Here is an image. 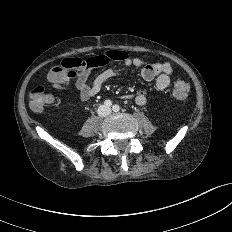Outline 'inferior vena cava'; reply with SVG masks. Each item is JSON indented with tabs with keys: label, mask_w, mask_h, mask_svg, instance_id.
Wrapping results in <instances>:
<instances>
[{
	"label": "inferior vena cava",
	"mask_w": 232,
	"mask_h": 232,
	"mask_svg": "<svg viewBox=\"0 0 232 232\" xmlns=\"http://www.w3.org/2000/svg\"><path fill=\"white\" fill-rule=\"evenodd\" d=\"M110 113H111V109L109 107L100 106L98 109V114L101 116H106L109 115Z\"/></svg>",
	"instance_id": "inferior-vena-cava-1"
}]
</instances>
